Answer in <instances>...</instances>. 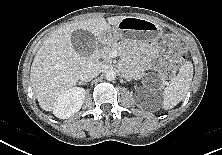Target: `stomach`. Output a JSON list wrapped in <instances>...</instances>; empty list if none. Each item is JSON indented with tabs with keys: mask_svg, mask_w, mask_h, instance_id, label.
<instances>
[{
	"mask_svg": "<svg viewBox=\"0 0 222 155\" xmlns=\"http://www.w3.org/2000/svg\"><path fill=\"white\" fill-rule=\"evenodd\" d=\"M162 28L147 19L125 17L118 25L110 28L98 37L102 45H114L118 40L124 43L140 45L160 38Z\"/></svg>",
	"mask_w": 222,
	"mask_h": 155,
	"instance_id": "obj_1",
	"label": "stomach"
}]
</instances>
